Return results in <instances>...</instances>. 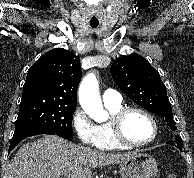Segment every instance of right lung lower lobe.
Wrapping results in <instances>:
<instances>
[{"label": "right lung lower lobe", "instance_id": "1", "mask_svg": "<svg viewBox=\"0 0 194 178\" xmlns=\"http://www.w3.org/2000/svg\"><path fill=\"white\" fill-rule=\"evenodd\" d=\"M38 134H55V135H58L60 137L65 138L67 140L73 139V135L56 133V132H54L50 129H46V128H39V127L24 128V129H20V130H15L14 135L11 139L10 146H9V152L12 149H14L16 147V145L19 142H21L23 139L30 137V136L38 135Z\"/></svg>", "mask_w": 194, "mask_h": 178}]
</instances>
